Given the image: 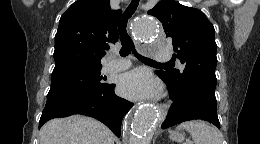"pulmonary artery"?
<instances>
[{"label":"pulmonary artery","mask_w":260,"mask_h":144,"mask_svg":"<svg viewBox=\"0 0 260 144\" xmlns=\"http://www.w3.org/2000/svg\"><path fill=\"white\" fill-rule=\"evenodd\" d=\"M170 57H171V52L168 49H162L154 55V58L160 61L168 60ZM130 65L131 62L128 59L119 58V59L110 60L106 64L105 70L107 72H119L127 69L128 67H130Z\"/></svg>","instance_id":"1"}]
</instances>
